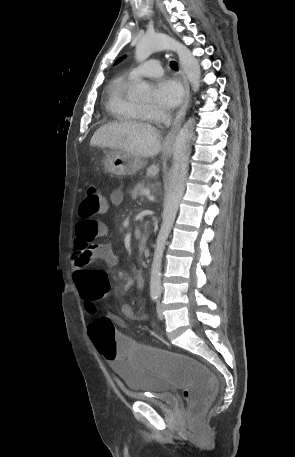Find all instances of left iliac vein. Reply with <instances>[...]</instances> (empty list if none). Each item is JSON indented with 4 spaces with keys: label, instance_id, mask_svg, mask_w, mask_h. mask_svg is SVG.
Masks as SVG:
<instances>
[{
    "label": "left iliac vein",
    "instance_id": "left-iliac-vein-1",
    "mask_svg": "<svg viewBox=\"0 0 295 457\" xmlns=\"http://www.w3.org/2000/svg\"><path fill=\"white\" fill-rule=\"evenodd\" d=\"M157 316H158V318L160 320L164 319V315H163V312H162V305H161L160 302L157 304Z\"/></svg>",
    "mask_w": 295,
    "mask_h": 457
}]
</instances>
